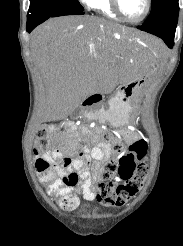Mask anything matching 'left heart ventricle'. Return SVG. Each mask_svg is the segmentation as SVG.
Listing matches in <instances>:
<instances>
[{"instance_id":"left-heart-ventricle-1","label":"left heart ventricle","mask_w":183,"mask_h":246,"mask_svg":"<svg viewBox=\"0 0 183 246\" xmlns=\"http://www.w3.org/2000/svg\"><path fill=\"white\" fill-rule=\"evenodd\" d=\"M124 14L130 19L139 18L145 11V0H120Z\"/></svg>"}]
</instances>
